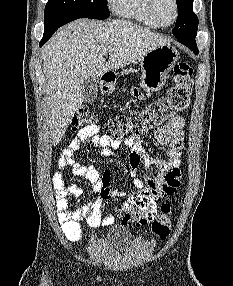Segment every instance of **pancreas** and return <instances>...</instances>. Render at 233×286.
<instances>
[{
    "label": "pancreas",
    "instance_id": "pancreas-1",
    "mask_svg": "<svg viewBox=\"0 0 233 286\" xmlns=\"http://www.w3.org/2000/svg\"><path fill=\"white\" fill-rule=\"evenodd\" d=\"M126 73H128V70H124V71L122 72V74H126Z\"/></svg>",
    "mask_w": 233,
    "mask_h": 286
}]
</instances>
